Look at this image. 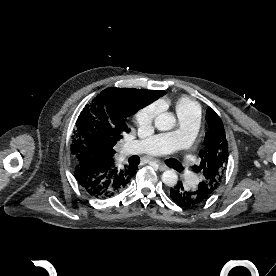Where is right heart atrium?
Listing matches in <instances>:
<instances>
[{
  "instance_id": "d8ad5b80",
  "label": "right heart atrium",
  "mask_w": 276,
  "mask_h": 276,
  "mask_svg": "<svg viewBox=\"0 0 276 276\" xmlns=\"http://www.w3.org/2000/svg\"><path fill=\"white\" fill-rule=\"evenodd\" d=\"M157 113L158 109L154 104L143 107L135 115L136 123L140 127H146L152 123Z\"/></svg>"
}]
</instances>
